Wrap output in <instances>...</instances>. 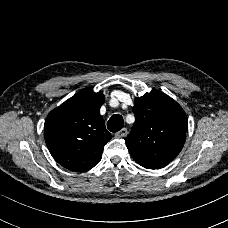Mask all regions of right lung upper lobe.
Listing matches in <instances>:
<instances>
[{
    "instance_id": "right-lung-upper-lobe-1",
    "label": "right lung upper lobe",
    "mask_w": 228,
    "mask_h": 228,
    "mask_svg": "<svg viewBox=\"0 0 228 228\" xmlns=\"http://www.w3.org/2000/svg\"><path fill=\"white\" fill-rule=\"evenodd\" d=\"M103 102V93L83 89L48 114L45 142L64 168L85 172L101 160L104 145L112 138L100 115Z\"/></svg>"
}]
</instances>
